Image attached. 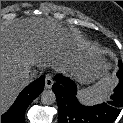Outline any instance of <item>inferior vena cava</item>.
<instances>
[{
  "mask_svg": "<svg viewBox=\"0 0 123 123\" xmlns=\"http://www.w3.org/2000/svg\"><path fill=\"white\" fill-rule=\"evenodd\" d=\"M23 78L26 79L27 81H31L33 79V75L30 74V71L27 70L23 74Z\"/></svg>",
  "mask_w": 123,
  "mask_h": 123,
  "instance_id": "1",
  "label": "inferior vena cava"
}]
</instances>
